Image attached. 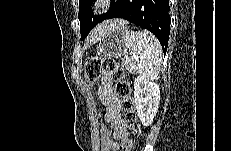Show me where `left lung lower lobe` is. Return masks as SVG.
<instances>
[{
	"instance_id": "left-lung-lower-lobe-1",
	"label": "left lung lower lobe",
	"mask_w": 231,
	"mask_h": 151,
	"mask_svg": "<svg viewBox=\"0 0 231 151\" xmlns=\"http://www.w3.org/2000/svg\"><path fill=\"white\" fill-rule=\"evenodd\" d=\"M169 0H121L106 13L100 22L122 18L151 31L166 53L170 34Z\"/></svg>"
}]
</instances>
